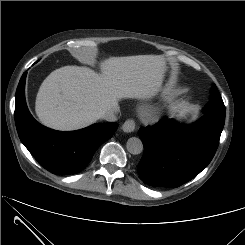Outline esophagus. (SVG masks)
<instances>
[{"label": "esophagus", "instance_id": "1", "mask_svg": "<svg viewBox=\"0 0 245 245\" xmlns=\"http://www.w3.org/2000/svg\"><path fill=\"white\" fill-rule=\"evenodd\" d=\"M135 127H136V123L134 119H128L123 123L122 130L126 133H130L135 130Z\"/></svg>", "mask_w": 245, "mask_h": 245}]
</instances>
